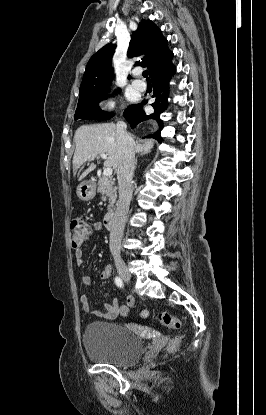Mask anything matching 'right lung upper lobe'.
Returning <instances> with one entry per match:
<instances>
[{"instance_id":"right-lung-upper-lobe-1","label":"right lung upper lobe","mask_w":266,"mask_h":415,"mask_svg":"<svg viewBox=\"0 0 266 415\" xmlns=\"http://www.w3.org/2000/svg\"><path fill=\"white\" fill-rule=\"evenodd\" d=\"M114 49L115 45L109 43L90 58L80 86L79 97L109 89L113 77L111 60ZM142 54H145V58L141 62L138 61L136 65L147 67L151 78L172 65L173 53L168 48L167 40L151 20H142L139 23L129 44L128 57Z\"/></svg>"}]
</instances>
